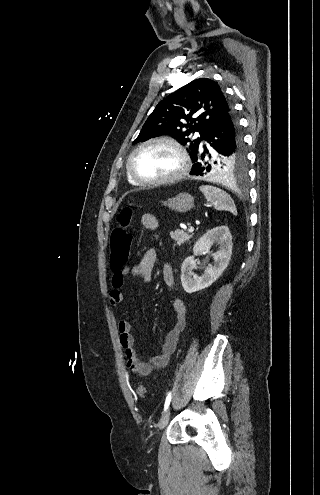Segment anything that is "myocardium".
<instances>
[{"label":"myocardium","instance_id":"1","mask_svg":"<svg viewBox=\"0 0 320 495\" xmlns=\"http://www.w3.org/2000/svg\"><path fill=\"white\" fill-rule=\"evenodd\" d=\"M152 144H167L177 152L180 160V167L174 174L164 178L152 179V180L142 179L136 175V173L133 170V159L135 155L141 149ZM189 164L190 162L186 149L180 142H178L177 140L171 137L160 136V137L150 138L140 143L138 146H136L128 156L126 169L128 176L131 178V180L134 183L141 186H160V185L172 184L182 179L189 170Z\"/></svg>","mask_w":320,"mask_h":495}]
</instances>
